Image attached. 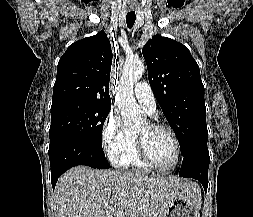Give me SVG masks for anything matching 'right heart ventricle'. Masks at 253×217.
Here are the masks:
<instances>
[{"label": "right heart ventricle", "instance_id": "1", "mask_svg": "<svg viewBox=\"0 0 253 217\" xmlns=\"http://www.w3.org/2000/svg\"><path fill=\"white\" fill-rule=\"evenodd\" d=\"M132 139L127 148L118 157L116 164L120 167L132 168L140 172H147L151 168L148 167L139 157L137 151L136 135L132 133Z\"/></svg>", "mask_w": 253, "mask_h": 217}]
</instances>
